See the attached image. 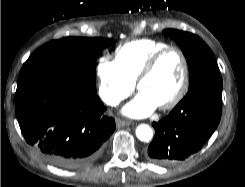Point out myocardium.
<instances>
[{
  "label": "myocardium",
  "mask_w": 245,
  "mask_h": 187,
  "mask_svg": "<svg viewBox=\"0 0 245 187\" xmlns=\"http://www.w3.org/2000/svg\"><path fill=\"white\" fill-rule=\"evenodd\" d=\"M172 51L176 52L181 59L182 67H183L182 79L177 92L167 102L158 106L160 110H168L175 107L177 104H179V102L184 98V96L187 93L189 87V80H190L189 63L182 49H180L177 46L169 45L155 52L145 63L135 82V87L137 90H139L141 83L152 74L160 59L165 54Z\"/></svg>",
  "instance_id": "myocardium-1"
}]
</instances>
